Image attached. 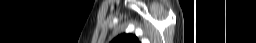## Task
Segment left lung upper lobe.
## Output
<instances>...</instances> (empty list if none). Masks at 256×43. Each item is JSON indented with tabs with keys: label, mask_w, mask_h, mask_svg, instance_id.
<instances>
[{
	"label": "left lung upper lobe",
	"mask_w": 256,
	"mask_h": 43,
	"mask_svg": "<svg viewBox=\"0 0 256 43\" xmlns=\"http://www.w3.org/2000/svg\"><path fill=\"white\" fill-rule=\"evenodd\" d=\"M111 43H139V41L135 35L121 34L116 37Z\"/></svg>",
	"instance_id": "5c2ea615"
}]
</instances>
